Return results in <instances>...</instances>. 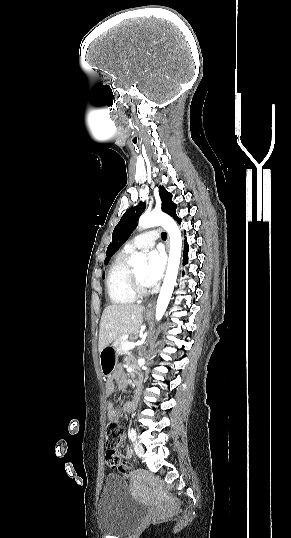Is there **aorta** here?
<instances>
[{"label": "aorta", "mask_w": 291, "mask_h": 538, "mask_svg": "<svg viewBox=\"0 0 291 538\" xmlns=\"http://www.w3.org/2000/svg\"><path fill=\"white\" fill-rule=\"evenodd\" d=\"M159 225H161L169 234L170 252L166 275L156 304L155 317L157 321L164 315L171 299L176 284L182 250L181 232L171 216L162 212L153 211L144 213L139 218V226L142 228H150ZM146 261L147 257L144 254L136 253L132 255L130 264L134 268H141Z\"/></svg>", "instance_id": "1"}]
</instances>
